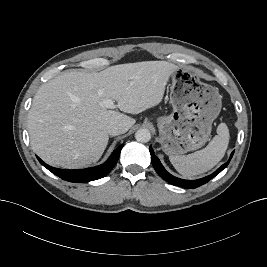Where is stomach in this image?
I'll list each match as a JSON object with an SVG mask.
<instances>
[{"label": "stomach", "instance_id": "0dacf381", "mask_svg": "<svg viewBox=\"0 0 267 267\" xmlns=\"http://www.w3.org/2000/svg\"><path fill=\"white\" fill-rule=\"evenodd\" d=\"M171 79L173 111L169 116L157 118V125L163 151L167 155H180L201 148L209 140L222 97L192 69L175 67Z\"/></svg>", "mask_w": 267, "mask_h": 267}]
</instances>
